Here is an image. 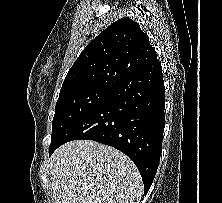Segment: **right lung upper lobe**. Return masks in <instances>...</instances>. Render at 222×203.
<instances>
[{
	"label": "right lung upper lobe",
	"mask_w": 222,
	"mask_h": 203,
	"mask_svg": "<svg viewBox=\"0 0 222 203\" xmlns=\"http://www.w3.org/2000/svg\"><path fill=\"white\" fill-rule=\"evenodd\" d=\"M156 60L155 50L140 25L121 18L85 47L61 89L85 86L113 89L124 78Z\"/></svg>",
	"instance_id": "obj_1"
}]
</instances>
